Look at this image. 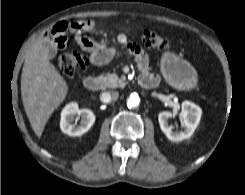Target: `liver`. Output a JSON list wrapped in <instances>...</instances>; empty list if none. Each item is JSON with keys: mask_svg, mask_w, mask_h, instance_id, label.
<instances>
[{"mask_svg": "<svg viewBox=\"0 0 245 195\" xmlns=\"http://www.w3.org/2000/svg\"><path fill=\"white\" fill-rule=\"evenodd\" d=\"M68 85L49 61L42 43L28 51L21 76V96L34 133L41 137L51 114L66 98Z\"/></svg>", "mask_w": 245, "mask_h": 195, "instance_id": "liver-1", "label": "liver"}]
</instances>
